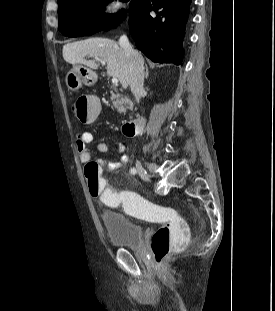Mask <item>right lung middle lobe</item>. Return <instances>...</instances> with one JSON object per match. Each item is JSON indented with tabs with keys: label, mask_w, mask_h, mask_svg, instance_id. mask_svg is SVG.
<instances>
[{
	"label": "right lung middle lobe",
	"mask_w": 275,
	"mask_h": 311,
	"mask_svg": "<svg viewBox=\"0 0 275 311\" xmlns=\"http://www.w3.org/2000/svg\"><path fill=\"white\" fill-rule=\"evenodd\" d=\"M111 1L113 0H69L58 5L59 31L65 36L75 37L87 25L93 28L94 33L116 27L122 12L119 14L103 12L105 6ZM120 1L127 2L128 0ZM143 2L144 0L131 1L130 12L133 13Z\"/></svg>",
	"instance_id": "obj_1"
}]
</instances>
